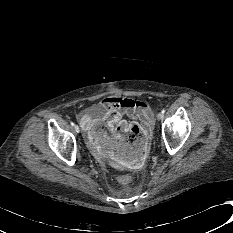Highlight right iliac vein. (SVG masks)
I'll list each match as a JSON object with an SVG mask.
<instances>
[{"label": "right iliac vein", "mask_w": 233, "mask_h": 233, "mask_svg": "<svg viewBox=\"0 0 233 233\" xmlns=\"http://www.w3.org/2000/svg\"><path fill=\"white\" fill-rule=\"evenodd\" d=\"M74 130H75L76 133H79V132H80L79 126H78V125H75V126H74Z\"/></svg>", "instance_id": "right-iliac-vein-1"}]
</instances>
